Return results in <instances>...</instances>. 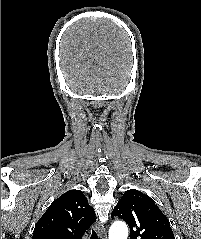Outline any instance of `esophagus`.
I'll list each match as a JSON object with an SVG mask.
<instances>
[{"label": "esophagus", "instance_id": "esophagus-1", "mask_svg": "<svg viewBox=\"0 0 201 239\" xmlns=\"http://www.w3.org/2000/svg\"><path fill=\"white\" fill-rule=\"evenodd\" d=\"M97 231H98L99 235L101 236V239H107L106 229H105L104 225L98 224Z\"/></svg>", "mask_w": 201, "mask_h": 239}]
</instances>
